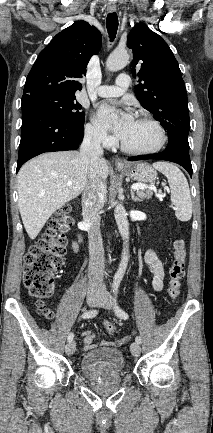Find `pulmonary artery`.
I'll use <instances>...</instances> for the list:
<instances>
[{"mask_svg": "<svg viewBox=\"0 0 213 433\" xmlns=\"http://www.w3.org/2000/svg\"><path fill=\"white\" fill-rule=\"evenodd\" d=\"M130 84L127 74H120L115 85H102L97 88L96 93L101 97H117L122 95Z\"/></svg>", "mask_w": 213, "mask_h": 433, "instance_id": "obj_1", "label": "pulmonary artery"}]
</instances>
